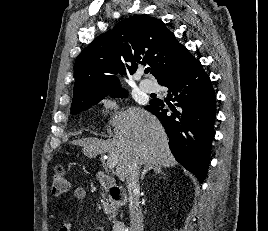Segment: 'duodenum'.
I'll return each instance as SVG.
<instances>
[{
    "instance_id": "410a0bca",
    "label": "duodenum",
    "mask_w": 268,
    "mask_h": 231,
    "mask_svg": "<svg viewBox=\"0 0 268 231\" xmlns=\"http://www.w3.org/2000/svg\"><path fill=\"white\" fill-rule=\"evenodd\" d=\"M98 183L109 190L110 198L114 203L124 204L127 201L126 190L118 185L115 179L105 173L97 174ZM113 231H126V225L122 220H117L114 223Z\"/></svg>"
}]
</instances>
